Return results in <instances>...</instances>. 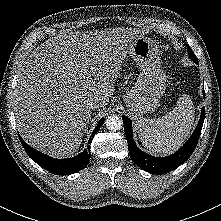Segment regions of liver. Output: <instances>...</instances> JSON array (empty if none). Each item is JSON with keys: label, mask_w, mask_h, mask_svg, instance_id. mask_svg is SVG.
I'll use <instances>...</instances> for the list:
<instances>
[{"label": "liver", "mask_w": 221, "mask_h": 221, "mask_svg": "<svg viewBox=\"0 0 221 221\" xmlns=\"http://www.w3.org/2000/svg\"><path fill=\"white\" fill-rule=\"evenodd\" d=\"M138 37L136 29L124 27L73 32L52 37L32 51L15 88L22 138L52 157L72 156L91 119L87 103L107 105Z\"/></svg>", "instance_id": "obj_1"}]
</instances>
